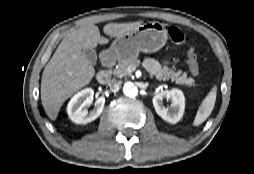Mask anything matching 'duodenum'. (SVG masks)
<instances>
[{"mask_svg":"<svg viewBox=\"0 0 254 174\" xmlns=\"http://www.w3.org/2000/svg\"><path fill=\"white\" fill-rule=\"evenodd\" d=\"M103 69L96 75V80L100 84H107L111 79L110 69L114 66V60L109 54L103 55L101 59Z\"/></svg>","mask_w":254,"mask_h":174,"instance_id":"1","label":"duodenum"}]
</instances>
